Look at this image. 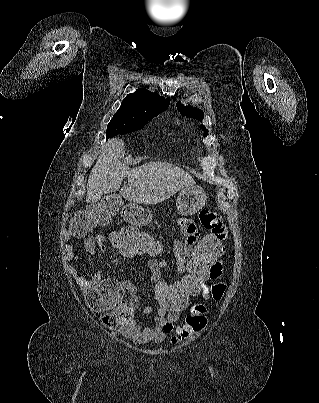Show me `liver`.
Segmentation results:
<instances>
[{
  "label": "liver",
  "instance_id": "6515ba94",
  "mask_svg": "<svg viewBox=\"0 0 319 403\" xmlns=\"http://www.w3.org/2000/svg\"><path fill=\"white\" fill-rule=\"evenodd\" d=\"M122 156V140L112 138L102 146L101 154L89 174L87 203H95L103 194L118 191L125 177L128 184L120 189L121 196L139 204H158L183 188L196 184L192 176L173 164L154 161L130 168L120 161Z\"/></svg>",
  "mask_w": 319,
  "mask_h": 403
}]
</instances>
